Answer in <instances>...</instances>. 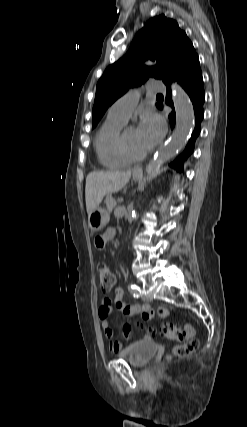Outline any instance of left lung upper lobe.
I'll use <instances>...</instances> for the list:
<instances>
[{"instance_id": "1", "label": "left lung upper lobe", "mask_w": 247, "mask_h": 427, "mask_svg": "<svg viewBox=\"0 0 247 427\" xmlns=\"http://www.w3.org/2000/svg\"><path fill=\"white\" fill-rule=\"evenodd\" d=\"M196 56L191 41L176 21L164 15L150 19L136 34L127 53L107 67L99 80L92 127L97 125L107 108L129 87L141 85L150 77L161 79L166 84L175 79ZM147 59L165 65L167 73H163L158 66H144L143 62Z\"/></svg>"}]
</instances>
